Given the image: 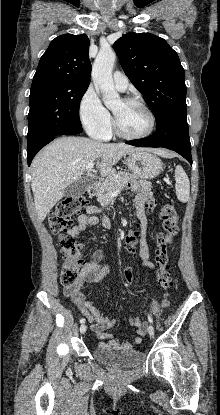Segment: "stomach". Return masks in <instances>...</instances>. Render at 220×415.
I'll use <instances>...</instances> for the list:
<instances>
[{
	"instance_id": "stomach-1",
	"label": "stomach",
	"mask_w": 220,
	"mask_h": 415,
	"mask_svg": "<svg viewBox=\"0 0 220 415\" xmlns=\"http://www.w3.org/2000/svg\"><path fill=\"white\" fill-rule=\"evenodd\" d=\"M125 163L129 170L142 179H153L163 169L162 161L147 150L130 153L125 157Z\"/></svg>"
}]
</instances>
